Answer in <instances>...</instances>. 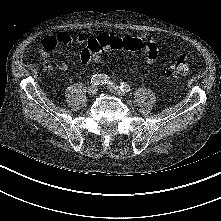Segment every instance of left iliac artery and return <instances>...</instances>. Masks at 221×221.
<instances>
[{"instance_id":"1","label":"left iliac artery","mask_w":221,"mask_h":221,"mask_svg":"<svg viewBox=\"0 0 221 221\" xmlns=\"http://www.w3.org/2000/svg\"><path fill=\"white\" fill-rule=\"evenodd\" d=\"M120 88L123 93H127L130 91V86L127 83H122Z\"/></svg>"}]
</instances>
